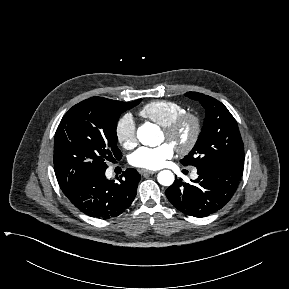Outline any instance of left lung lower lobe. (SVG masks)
<instances>
[{
    "instance_id": "0a47b994",
    "label": "left lung lower lobe",
    "mask_w": 289,
    "mask_h": 289,
    "mask_svg": "<svg viewBox=\"0 0 289 289\" xmlns=\"http://www.w3.org/2000/svg\"><path fill=\"white\" fill-rule=\"evenodd\" d=\"M243 168L228 164L197 167L199 177L192 184L181 179L166 190L168 200L184 214L205 217L225 206L234 195Z\"/></svg>"
}]
</instances>
